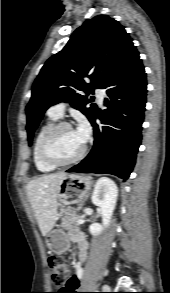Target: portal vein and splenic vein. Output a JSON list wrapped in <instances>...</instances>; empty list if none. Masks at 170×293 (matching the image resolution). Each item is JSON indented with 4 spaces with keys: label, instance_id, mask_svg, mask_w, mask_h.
<instances>
[{
    "label": "portal vein and splenic vein",
    "instance_id": "obj_1",
    "mask_svg": "<svg viewBox=\"0 0 170 293\" xmlns=\"http://www.w3.org/2000/svg\"><path fill=\"white\" fill-rule=\"evenodd\" d=\"M82 222V220H79V223H81Z\"/></svg>",
    "mask_w": 170,
    "mask_h": 293
}]
</instances>
